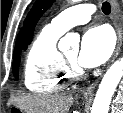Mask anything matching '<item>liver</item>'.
<instances>
[{"label":"liver","instance_id":"6515ba94","mask_svg":"<svg viewBox=\"0 0 123 113\" xmlns=\"http://www.w3.org/2000/svg\"><path fill=\"white\" fill-rule=\"evenodd\" d=\"M10 103L27 113H68L73 104L71 93L55 95H18Z\"/></svg>","mask_w":123,"mask_h":113}]
</instances>
